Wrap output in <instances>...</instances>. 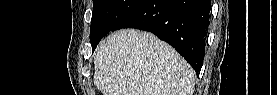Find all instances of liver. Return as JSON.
<instances>
[{
	"instance_id": "liver-1",
	"label": "liver",
	"mask_w": 277,
	"mask_h": 95,
	"mask_svg": "<svg viewBox=\"0 0 277 95\" xmlns=\"http://www.w3.org/2000/svg\"><path fill=\"white\" fill-rule=\"evenodd\" d=\"M103 95H193L195 73L166 42L136 29L114 32L94 55Z\"/></svg>"
}]
</instances>
